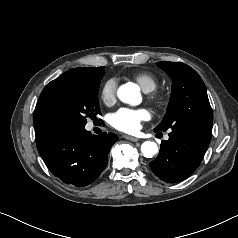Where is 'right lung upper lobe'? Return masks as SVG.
Segmentation results:
<instances>
[{
  "instance_id": "obj_1",
  "label": "right lung upper lobe",
  "mask_w": 238,
  "mask_h": 238,
  "mask_svg": "<svg viewBox=\"0 0 238 238\" xmlns=\"http://www.w3.org/2000/svg\"><path fill=\"white\" fill-rule=\"evenodd\" d=\"M91 68L78 67L71 69L55 80L51 81L42 91L34 113V126L36 131L56 126L55 122V101L53 87L55 82L64 75L88 76Z\"/></svg>"
}]
</instances>
